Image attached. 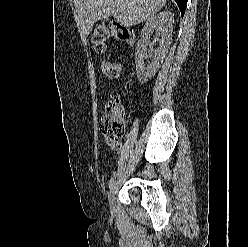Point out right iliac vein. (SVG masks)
<instances>
[{
	"mask_svg": "<svg viewBox=\"0 0 248 247\" xmlns=\"http://www.w3.org/2000/svg\"><path fill=\"white\" fill-rule=\"evenodd\" d=\"M116 190H117V183H114L112 188L110 189V192H109V195H108L111 209H113V206H114Z\"/></svg>",
	"mask_w": 248,
	"mask_h": 247,
	"instance_id": "right-iliac-vein-1",
	"label": "right iliac vein"
}]
</instances>
